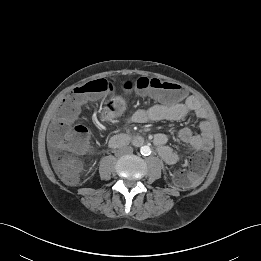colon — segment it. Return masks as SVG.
<instances>
[{
    "instance_id": "colon-1",
    "label": "colon",
    "mask_w": 261,
    "mask_h": 261,
    "mask_svg": "<svg viewBox=\"0 0 261 261\" xmlns=\"http://www.w3.org/2000/svg\"><path fill=\"white\" fill-rule=\"evenodd\" d=\"M124 87L128 90L135 89L162 103L176 102L183 96L182 89L177 84L157 78L140 77L135 81L126 82ZM112 89V84L107 79L88 81L76 87L59 109L63 122L52 129L51 136L57 147L68 152L58 155L54 161L56 170L67 183L73 184L77 181L83 167L79 155L86 154L91 148L88 129L80 125L72 127L69 125V120L77 114L83 96L110 93ZM109 106L117 114L125 109L119 97H112L109 100ZM210 160L211 157L207 151L193 153L189 159L188 169L174 171V183L179 187L196 185L206 172Z\"/></svg>"
}]
</instances>
